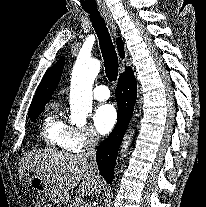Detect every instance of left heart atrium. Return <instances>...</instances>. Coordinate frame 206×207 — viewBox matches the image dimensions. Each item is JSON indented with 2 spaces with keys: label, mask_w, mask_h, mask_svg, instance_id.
Returning <instances> with one entry per match:
<instances>
[{
  "label": "left heart atrium",
  "mask_w": 206,
  "mask_h": 207,
  "mask_svg": "<svg viewBox=\"0 0 206 207\" xmlns=\"http://www.w3.org/2000/svg\"><path fill=\"white\" fill-rule=\"evenodd\" d=\"M117 121V112L112 104L100 105L93 114V122L101 135L109 133Z\"/></svg>",
  "instance_id": "obj_1"
}]
</instances>
